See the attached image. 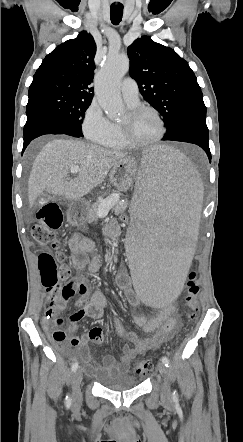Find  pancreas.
Listing matches in <instances>:
<instances>
[{
    "instance_id": "1",
    "label": "pancreas",
    "mask_w": 243,
    "mask_h": 442,
    "mask_svg": "<svg viewBox=\"0 0 243 442\" xmlns=\"http://www.w3.org/2000/svg\"><path fill=\"white\" fill-rule=\"evenodd\" d=\"M112 195L108 196L106 199L102 200V201H97L94 204L91 205V207L88 209V214H87V220L89 223L96 221L99 216L97 214L98 212V208L105 202L107 201ZM127 208V203L126 202H119V200L114 204V206L112 207V210L115 212L116 215L118 214H122L125 212Z\"/></svg>"
}]
</instances>
